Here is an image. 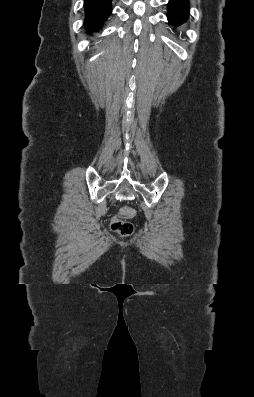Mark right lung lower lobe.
Wrapping results in <instances>:
<instances>
[{
  "label": "right lung lower lobe",
  "mask_w": 254,
  "mask_h": 397,
  "mask_svg": "<svg viewBox=\"0 0 254 397\" xmlns=\"http://www.w3.org/2000/svg\"><path fill=\"white\" fill-rule=\"evenodd\" d=\"M84 26L88 30L100 28L112 12L111 0H84Z\"/></svg>",
  "instance_id": "1"
}]
</instances>
